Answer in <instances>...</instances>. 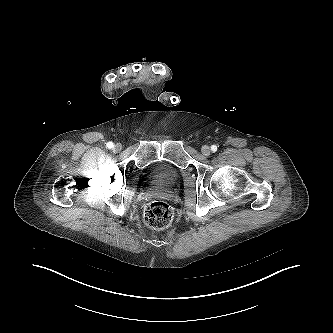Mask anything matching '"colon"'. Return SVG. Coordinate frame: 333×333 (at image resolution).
I'll return each instance as SVG.
<instances>
[{
    "instance_id": "colon-1",
    "label": "colon",
    "mask_w": 333,
    "mask_h": 333,
    "mask_svg": "<svg viewBox=\"0 0 333 333\" xmlns=\"http://www.w3.org/2000/svg\"><path fill=\"white\" fill-rule=\"evenodd\" d=\"M173 209L164 201H154L148 204L144 211L145 223L153 229H164L173 220Z\"/></svg>"
}]
</instances>
